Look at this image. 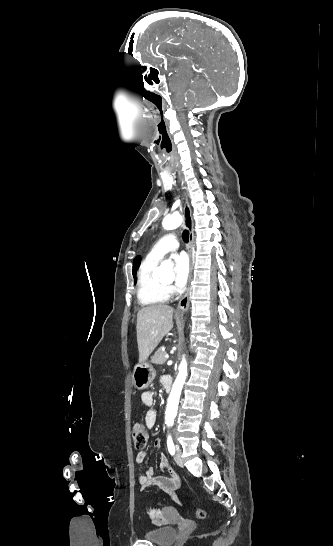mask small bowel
<instances>
[{"label":"small bowel","instance_id":"c3829d8e","mask_svg":"<svg viewBox=\"0 0 333 546\" xmlns=\"http://www.w3.org/2000/svg\"><path fill=\"white\" fill-rule=\"evenodd\" d=\"M166 377H162V383H164ZM142 403L145 406L152 407L154 405V396L151 392H143L141 395ZM157 415L156 412L152 409L148 410L145 415V425L147 428H153L156 424ZM162 445V441L160 438L155 439L154 441V447L159 449ZM146 452L145 451H139L136 454L135 461L138 464L144 463L146 460ZM160 471L163 472L165 469H170L169 462L167 458L164 455H161L160 457V463H159ZM171 476H165L162 473H156L153 467H149L146 469L144 473H140L137 476L138 482L142 489H146L150 486H155L163 491H166L167 493L174 496L176 500V491L180 487V478L177 475L175 471L170 469ZM145 511L150 516L151 520L155 524H161L166 521V518L168 514L170 513L169 508H164L163 510L158 509H150L147 506H145Z\"/></svg>","mask_w":333,"mask_h":546}]
</instances>
